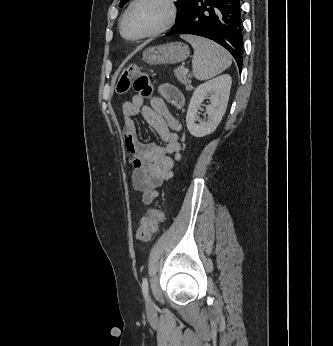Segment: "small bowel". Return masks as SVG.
I'll use <instances>...</instances> for the list:
<instances>
[{
	"instance_id": "c3829d8e",
	"label": "small bowel",
	"mask_w": 333,
	"mask_h": 346,
	"mask_svg": "<svg viewBox=\"0 0 333 346\" xmlns=\"http://www.w3.org/2000/svg\"><path fill=\"white\" fill-rule=\"evenodd\" d=\"M161 97H155L146 105L143 97L135 95L122 104L124 141L133 165L132 183L141 193L144 205L158 197V188L172 177L173 167L180 159L181 144L178 132L181 123L171 113L166 102L182 108L184 97L178 88L162 84L158 88ZM138 114L159 134L165 145L143 142L134 117Z\"/></svg>"
}]
</instances>
